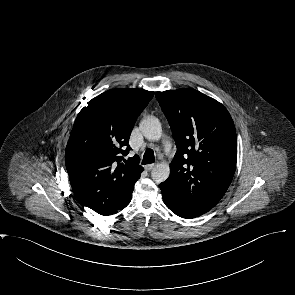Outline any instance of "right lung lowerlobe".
<instances>
[{
    "label": "right lung lower lobe",
    "instance_id": "right-lung-lower-lobe-1",
    "mask_svg": "<svg viewBox=\"0 0 295 295\" xmlns=\"http://www.w3.org/2000/svg\"><path fill=\"white\" fill-rule=\"evenodd\" d=\"M131 195H132V192L129 194V196L124 200V202L121 204V206L119 207V208H117V209H115L114 211H112V212H110V213H108V214H106V215H112V214H115V213H117L118 211H120V210H122L123 208H125L128 204H129V202H130V200H131Z\"/></svg>",
    "mask_w": 295,
    "mask_h": 295
}]
</instances>
